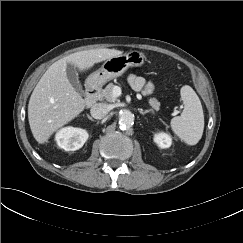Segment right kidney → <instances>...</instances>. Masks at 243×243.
Returning a JSON list of instances; mask_svg holds the SVG:
<instances>
[{"instance_id":"right-kidney-1","label":"right kidney","mask_w":243,"mask_h":243,"mask_svg":"<svg viewBox=\"0 0 243 243\" xmlns=\"http://www.w3.org/2000/svg\"><path fill=\"white\" fill-rule=\"evenodd\" d=\"M88 139L86 130L74 127H65L55 135L57 145L65 151L80 149Z\"/></svg>"}]
</instances>
